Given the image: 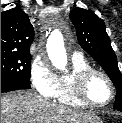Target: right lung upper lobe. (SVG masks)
I'll return each instance as SVG.
<instances>
[{
    "instance_id": "right-lung-upper-lobe-1",
    "label": "right lung upper lobe",
    "mask_w": 122,
    "mask_h": 123,
    "mask_svg": "<svg viewBox=\"0 0 122 123\" xmlns=\"http://www.w3.org/2000/svg\"><path fill=\"white\" fill-rule=\"evenodd\" d=\"M34 28L20 8L1 12V52L29 53Z\"/></svg>"
}]
</instances>
